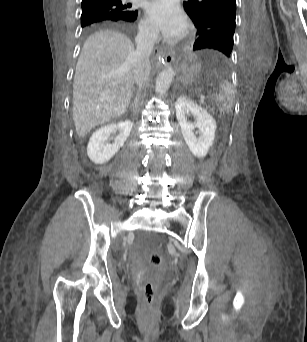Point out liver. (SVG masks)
Segmentation results:
<instances>
[{
	"label": "liver",
	"instance_id": "1",
	"mask_svg": "<svg viewBox=\"0 0 307 342\" xmlns=\"http://www.w3.org/2000/svg\"><path fill=\"white\" fill-rule=\"evenodd\" d=\"M134 46L121 32L100 30L87 38L73 82V120L79 138L118 118L134 90ZM104 74H111L103 78Z\"/></svg>",
	"mask_w": 307,
	"mask_h": 342
}]
</instances>
